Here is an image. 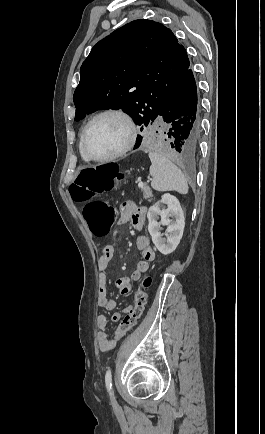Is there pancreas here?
Returning a JSON list of instances; mask_svg holds the SVG:
<instances>
[{
	"mask_svg": "<svg viewBox=\"0 0 265 434\" xmlns=\"http://www.w3.org/2000/svg\"><path fill=\"white\" fill-rule=\"evenodd\" d=\"M142 192H143V196L145 198V200H148V198H152V192H151V188H149V186H147V184H143V188H141ZM150 202V200H149Z\"/></svg>",
	"mask_w": 265,
	"mask_h": 434,
	"instance_id": "cf45deb5",
	"label": "pancreas"
}]
</instances>
